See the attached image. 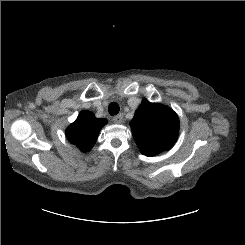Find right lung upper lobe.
<instances>
[{"mask_svg":"<svg viewBox=\"0 0 245 245\" xmlns=\"http://www.w3.org/2000/svg\"><path fill=\"white\" fill-rule=\"evenodd\" d=\"M105 124V119H97L92 113L81 111L76 121L67 128L66 136L71 143L86 152L92 148Z\"/></svg>","mask_w":245,"mask_h":245,"instance_id":"cb5924a9","label":"right lung upper lobe"}]
</instances>
